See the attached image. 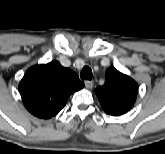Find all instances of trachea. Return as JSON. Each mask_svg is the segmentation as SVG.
Instances as JSON below:
<instances>
[{"mask_svg": "<svg viewBox=\"0 0 165 154\" xmlns=\"http://www.w3.org/2000/svg\"><path fill=\"white\" fill-rule=\"evenodd\" d=\"M81 79L91 80L92 79V70L90 67L85 66L81 73H80Z\"/></svg>", "mask_w": 165, "mask_h": 154, "instance_id": "obj_1", "label": "trachea"}]
</instances>
